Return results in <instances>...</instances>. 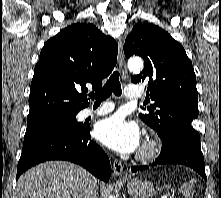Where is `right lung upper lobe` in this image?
Returning a JSON list of instances; mask_svg holds the SVG:
<instances>
[{
    "mask_svg": "<svg viewBox=\"0 0 221 198\" xmlns=\"http://www.w3.org/2000/svg\"><path fill=\"white\" fill-rule=\"evenodd\" d=\"M117 51L115 40L90 23L73 24L49 39L35 66L28 122L87 107L86 84L101 88L116 65Z\"/></svg>",
    "mask_w": 221,
    "mask_h": 198,
    "instance_id": "obj_1",
    "label": "right lung upper lobe"
}]
</instances>
